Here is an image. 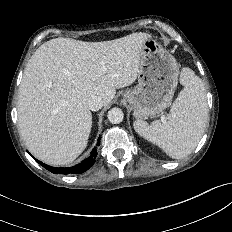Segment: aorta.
<instances>
[{
    "mask_svg": "<svg viewBox=\"0 0 232 232\" xmlns=\"http://www.w3.org/2000/svg\"><path fill=\"white\" fill-rule=\"evenodd\" d=\"M108 120L112 124H119L123 121L124 113L120 108H112L108 111Z\"/></svg>",
    "mask_w": 232,
    "mask_h": 232,
    "instance_id": "762f6f07",
    "label": "aorta"
}]
</instances>
